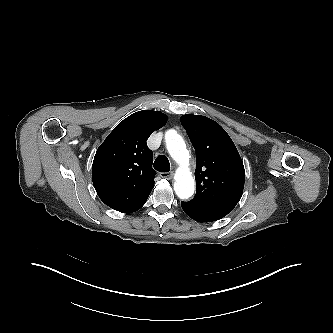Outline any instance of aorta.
Returning <instances> with one entry per match:
<instances>
[{"instance_id":"aorta-1","label":"aorta","mask_w":333,"mask_h":333,"mask_svg":"<svg viewBox=\"0 0 333 333\" xmlns=\"http://www.w3.org/2000/svg\"><path fill=\"white\" fill-rule=\"evenodd\" d=\"M165 138L170 156L179 164L175 175L174 191L180 199H188L194 193L195 181L188 169L189 153L185 141L175 131H168Z\"/></svg>"}]
</instances>
